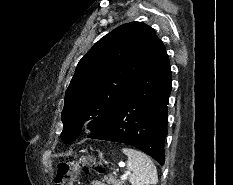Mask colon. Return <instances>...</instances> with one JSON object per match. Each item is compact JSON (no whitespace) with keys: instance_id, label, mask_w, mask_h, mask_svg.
<instances>
[{"instance_id":"colon-1","label":"colon","mask_w":233,"mask_h":185,"mask_svg":"<svg viewBox=\"0 0 233 185\" xmlns=\"http://www.w3.org/2000/svg\"><path fill=\"white\" fill-rule=\"evenodd\" d=\"M84 167H90L96 172L104 171V163L91 155L77 162H61L56 170L55 185H74L78 174Z\"/></svg>"}]
</instances>
